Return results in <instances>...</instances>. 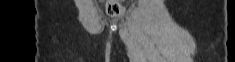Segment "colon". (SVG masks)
I'll use <instances>...</instances> for the list:
<instances>
[{
	"mask_svg": "<svg viewBox=\"0 0 235 62\" xmlns=\"http://www.w3.org/2000/svg\"><path fill=\"white\" fill-rule=\"evenodd\" d=\"M106 11L112 17H120L124 13V7L120 0H107Z\"/></svg>",
	"mask_w": 235,
	"mask_h": 62,
	"instance_id": "colon-1",
	"label": "colon"
}]
</instances>
